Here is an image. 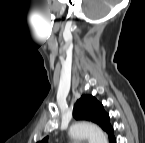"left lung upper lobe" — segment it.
<instances>
[{
	"label": "left lung upper lobe",
	"instance_id": "left-lung-upper-lobe-1",
	"mask_svg": "<svg viewBox=\"0 0 145 143\" xmlns=\"http://www.w3.org/2000/svg\"><path fill=\"white\" fill-rule=\"evenodd\" d=\"M73 117L77 120H87L98 124L109 136L114 137L113 128L109 123V115L104 111L103 106L93 96L84 95L75 104ZM47 137L41 143H46Z\"/></svg>",
	"mask_w": 145,
	"mask_h": 143
}]
</instances>
